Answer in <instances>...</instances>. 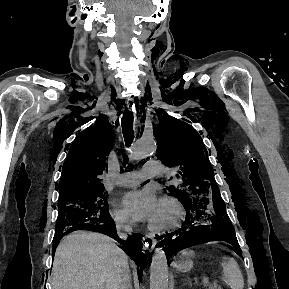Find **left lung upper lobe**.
Segmentation results:
<instances>
[{
	"mask_svg": "<svg viewBox=\"0 0 289 289\" xmlns=\"http://www.w3.org/2000/svg\"><path fill=\"white\" fill-rule=\"evenodd\" d=\"M158 113L159 125L153 127L159 144L157 157L165 165L179 169L178 186L167 189L184 207L196 199L205 201L208 206L216 200L223 201L200 135L188 123L166 116L163 110Z\"/></svg>",
	"mask_w": 289,
	"mask_h": 289,
	"instance_id": "1",
	"label": "left lung upper lobe"
}]
</instances>
